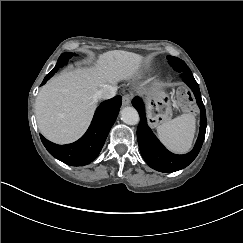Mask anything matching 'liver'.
Listing matches in <instances>:
<instances>
[{
    "instance_id": "liver-1",
    "label": "liver",
    "mask_w": 243,
    "mask_h": 243,
    "mask_svg": "<svg viewBox=\"0 0 243 243\" xmlns=\"http://www.w3.org/2000/svg\"><path fill=\"white\" fill-rule=\"evenodd\" d=\"M140 57L125 51L101 56L94 71L63 72L41 88L35 103L39 130L56 143H68L87 128L97 101L98 87L132 76Z\"/></svg>"
}]
</instances>
